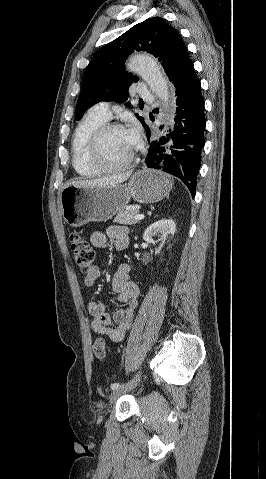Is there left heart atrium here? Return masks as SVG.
<instances>
[{
  "label": "left heart atrium",
  "mask_w": 266,
  "mask_h": 479,
  "mask_svg": "<svg viewBox=\"0 0 266 479\" xmlns=\"http://www.w3.org/2000/svg\"><path fill=\"white\" fill-rule=\"evenodd\" d=\"M132 142L134 145H136L137 141H138V137H139V133H138V130L136 127H132L130 129L127 130Z\"/></svg>",
  "instance_id": "1"
}]
</instances>
